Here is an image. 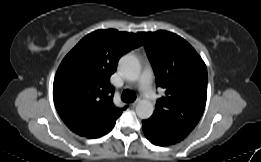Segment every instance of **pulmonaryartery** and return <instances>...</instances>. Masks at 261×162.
I'll return each instance as SVG.
<instances>
[{
    "label": "pulmonary artery",
    "instance_id": "1",
    "mask_svg": "<svg viewBox=\"0 0 261 162\" xmlns=\"http://www.w3.org/2000/svg\"><path fill=\"white\" fill-rule=\"evenodd\" d=\"M152 79V71L150 68H145L144 71L142 72L139 80H138V87L143 95V97L148 100V101H153L156 96L154 95L150 83Z\"/></svg>",
    "mask_w": 261,
    "mask_h": 162
}]
</instances>
